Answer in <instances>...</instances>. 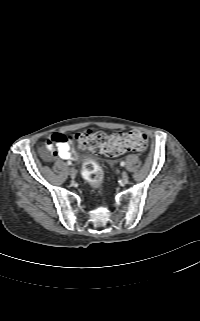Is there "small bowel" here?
Instances as JSON below:
<instances>
[{
	"label": "small bowel",
	"instance_id": "small-bowel-1",
	"mask_svg": "<svg viewBox=\"0 0 200 321\" xmlns=\"http://www.w3.org/2000/svg\"><path fill=\"white\" fill-rule=\"evenodd\" d=\"M41 154L48 160L56 158L74 159V151L71 138L60 133H55L47 140L46 145L41 148Z\"/></svg>",
	"mask_w": 200,
	"mask_h": 321
}]
</instances>
